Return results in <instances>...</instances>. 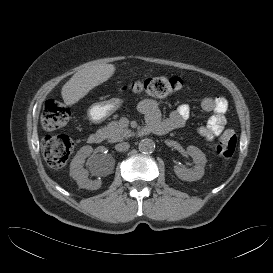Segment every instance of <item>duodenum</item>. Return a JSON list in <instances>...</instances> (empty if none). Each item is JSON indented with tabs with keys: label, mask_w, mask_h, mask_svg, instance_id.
I'll return each mask as SVG.
<instances>
[{
	"label": "duodenum",
	"mask_w": 273,
	"mask_h": 273,
	"mask_svg": "<svg viewBox=\"0 0 273 273\" xmlns=\"http://www.w3.org/2000/svg\"><path fill=\"white\" fill-rule=\"evenodd\" d=\"M145 133H151L156 135H163L170 131L169 124L165 120L158 119L153 122H148L143 128ZM105 135L103 132H94L89 136V142L91 144H100L103 142Z\"/></svg>",
	"instance_id": "duodenum-1"
}]
</instances>
